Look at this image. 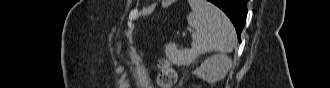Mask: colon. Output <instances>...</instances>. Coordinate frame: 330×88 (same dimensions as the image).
I'll return each instance as SVG.
<instances>
[{"label":"colon","instance_id":"obj_1","mask_svg":"<svg viewBox=\"0 0 330 88\" xmlns=\"http://www.w3.org/2000/svg\"><path fill=\"white\" fill-rule=\"evenodd\" d=\"M160 73L158 76V84L161 88H170L176 81V73L167 59L160 61Z\"/></svg>","mask_w":330,"mask_h":88}]
</instances>
